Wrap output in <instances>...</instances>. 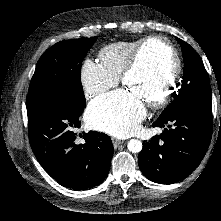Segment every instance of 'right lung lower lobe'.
Listing matches in <instances>:
<instances>
[{
	"instance_id": "1",
	"label": "right lung lower lobe",
	"mask_w": 221,
	"mask_h": 221,
	"mask_svg": "<svg viewBox=\"0 0 221 221\" xmlns=\"http://www.w3.org/2000/svg\"><path fill=\"white\" fill-rule=\"evenodd\" d=\"M85 107L67 96H56L27 110L31 148L44 170L59 184L86 190L105 180L114 148L104 133H83L77 142L74 128Z\"/></svg>"
}]
</instances>
